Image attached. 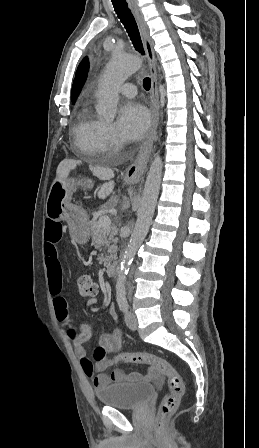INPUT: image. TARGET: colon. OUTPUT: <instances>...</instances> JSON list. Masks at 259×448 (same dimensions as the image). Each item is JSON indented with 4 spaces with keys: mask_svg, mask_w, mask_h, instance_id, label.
Instances as JSON below:
<instances>
[{
    "mask_svg": "<svg viewBox=\"0 0 259 448\" xmlns=\"http://www.w3.org/2000/svg\"><path fill=\"white\" fill-rule=\"evenodd\" d=\"M76 286L80 298L93 297L97 294V284L88 275L79 276ZM94 358L98 362L111 360L113 363H146L155 366L167 378L169 394L162 400L157 415V429L161 431L184 395V384L175 368L165 359L149 353H121L109 357L108 352L101 346L95 349Z\"/></svg>",
    "mask_w": 259,
    "mask_h": 448,
    "instance_id": "obj_1",
    "label": "colon"
}]
</instances>
